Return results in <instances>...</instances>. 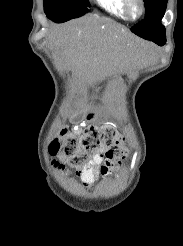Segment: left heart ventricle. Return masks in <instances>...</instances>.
<instances>
[{
	"label": "left heart ventricle",
	"mask_w": 183,
	"mask_h": 246,
	"mask_svg": "<svg viewBox=\"0 0 183 246\" xmlns=\"http://www.w3.org/2000/svg\"><path fill=\"white\" fill-rule=\"evenodd\" d=\"M137 12H138L137 7H136V6H133V7H132V13H133V15H136Z\"/></svg>",
	"instance_id": "b2bd125f"
}]
</instances>
